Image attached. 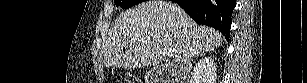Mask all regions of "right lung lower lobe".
<instances>
[{"mask_svg": "<svg viewBox=\"0 0 307 83\" xmlns=\"http://www.w3.org/2000/svg\"><path fill=\"white\" fill-rule=\"evenodd\" d=\"M197 23L218 29L228 40L235 0H173Z\"/></svg>", "mask_w": 307, "mask_h": 83, "instance_id": "1", "label": "right lung lower lobe"}]
</instances>
